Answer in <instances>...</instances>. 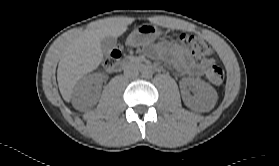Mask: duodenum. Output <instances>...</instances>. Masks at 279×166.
Instances as JSON below:
<instances>
[{
  "label": "duodenum",
  "mask_w": 279,
  "mask_h": 166,
  "mask_svg": "<svg viewBox=\"0 0 279 166\" xmlns=\"http://www.w3.org/2000/svg\"><path fill=\"white\" fill-rule=\"evenodd\" d=\"M136 66H138L141 69H145V70H153V69H157L156 66H153L151 64H148L144 61H138L135 63ZM127 66V63L124 61H118L116 62L112 67H111V71L112 72H120L123 69H125Z\"/></svg>",
  "instance_id": "1"
}]
</instances>
